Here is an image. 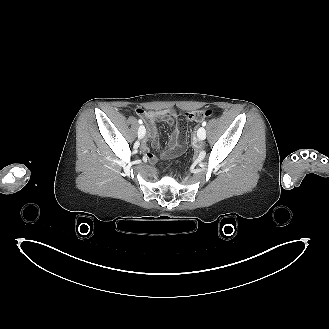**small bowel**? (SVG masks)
Returning a JSON list of instances; mask_svg holds the SVG:
<instances>
[{
	"mask_svg": "<svg viewBox=\"0 0 329 329\" xmlns=\"http://www.w3.org/2000/svg\"><path fill=\"white\" fill-rule=\"evenodd\" d=\"M136 114L141 117L147 125V136L144 139V152L150 161H155V156L150 152L149 144L153 147L159 146L158 132L155 121L158 118L166 120L172 127L170 134L169 149L163 154L165 158H172L181 153L186 146V142L182 137L181 130L187 128L185 120V112L183 110L160 109V110H145L138 107Z\"/></svg>",
	"mask_w": 329,
	"mask_h": 329,
	"instance_id": "obj_1",
	"label": "small bowel"
}]
</instances>
